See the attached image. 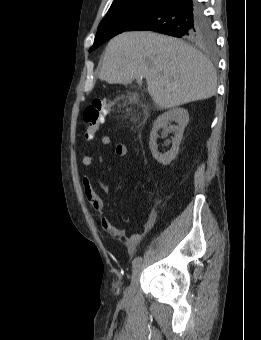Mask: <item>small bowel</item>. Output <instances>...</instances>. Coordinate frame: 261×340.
<instances>
[{"instance_id": "obj_1", "label": "small bowel", "mask_w": 261, "mask_h": 340, "mask_svg": "<svg viewBox=\"0 0 261 340\" xmlns=\"http://www.w3.org/2000/svg\"><path fill=\"white\" fill-rule=\"evenodd\" d=\"M111 143V139L109 136H103L100 139V144L103 147L109 146ZM114 154L117 157H124L127 154V147L123 143H117L114 147ZM100 162H102V159H98ZM95 161V157L92 154H85L81 159V165L85 168L90 167L93 165ZM82 186H83V192L86 200L88 201L91 208L98 213L103 214L104 213V205L103 201L100 198V196L95 192V190L92 188L90 180L86 175L82 176ZM155 222V214L151 213L145 223V230H149ZM102 228L110 234L112 237L122 240L124 242V245L127 249V251L132 254L136 251L137 247L139 246L142 238L143 233L136 232L130 236H126V233L124 230H121L117 227H115L107 216L102 215L100 220Z\"/></svg>"}]
</instances>
